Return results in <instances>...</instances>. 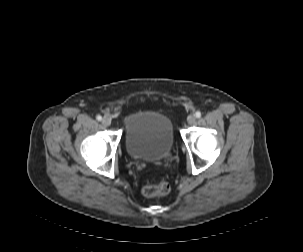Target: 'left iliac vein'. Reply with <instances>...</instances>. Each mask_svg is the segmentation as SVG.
Here are the masks:
<instances>
[{
    "label": "left iliac vein",
    "mask_w": 303,
    "mask_h": 252,
    "mask_svg": "<svg viewBox=\"0 0 303 252\" xmlns=\"http://www.w3.org/2000/svg\"><path fill=\"white\" fill-rule=\"evenodd\" d=\"M187 121L189 124H194L196 122V117L195 115H189L188 118H187Z\"/></svg>",
    "instance_id": "4c4485c4"
}]
</instances>
